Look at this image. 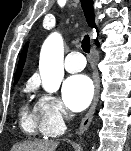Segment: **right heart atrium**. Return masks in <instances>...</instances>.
<instances>
[{"label":"right heart atrium","mask_w":131,"mask_h":151,"mask_svg":"<svg viewBox=\"0 0 131 151\" xmlns=\"http://www.w3.org/2000/svg\"><path fill=\"white\" fill-rule=\"evenodd\" d=\"M41 128L45 135L55 136L65 128L67 113L61 101L50 94H42L36 104Z\"/></svg>","instance_id":"right-heart-atrium-1"}]
</instances>
